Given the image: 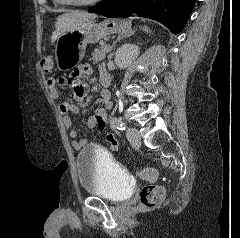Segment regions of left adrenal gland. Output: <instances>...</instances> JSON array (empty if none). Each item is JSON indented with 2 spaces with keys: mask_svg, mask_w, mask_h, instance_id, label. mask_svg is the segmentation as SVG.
I'll return each mask as SVG.
<instances>
[{
  "mask_svg": "<svg viewBox=\"0 0 240 238\" xmlns=\"http://www.w3.org/2000/svg\"><path fill=\"white\" fill-rule=\"evenodd\" d=\"M134 32H135V31L130 30V31H127V32L119 35L118 38L113 42V44H112V46H111V51H112V49L114 48L115 44H116L118 41H120V40L123 39V38L130 37L131 35L134 34ZM112 55H113V53H111V54L109 55V59L112 57Z\"/></svg>",
  "mask_w": 240,
  "mask_h": 238,
  "instance_id": "1",
  "label": "left adrenal gland"
}]
</instances>
